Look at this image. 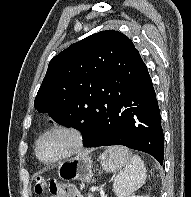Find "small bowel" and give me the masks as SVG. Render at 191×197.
<instances>
[{
  "instance_id": "1",
  "label": "small bowel",
  "mask_w": 191,
  "mask_h": 197,
  "mask_svg": "<svg viewBox=\"0 0 191 197\" xmlns=\"http://www.w3.org/2000/svg\"><path fill=\"white\" fill-rule=\"evenodd\" d=\"M67 192V193H66ZM66 193V194H65ZM55 197H80L76 190L69 189L60 195H55Z\"/></svg>"
}]
</instances>
